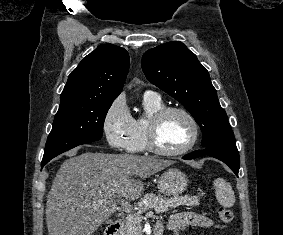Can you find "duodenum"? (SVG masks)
Masks as SVG:
<instances>
[{"mask_svg": "<svg viewBox=\"0 0 283 235\" xmlns=\"http://www.w3.org/2000/svg\"><path fill=\"white\" fill-rule=\"evenodd\" d=\"M123 228V222L116 220L109 225L106 231V235H121ZM154 235H162V225L157 223L154 228Z\"/></svg>", "mask_w": 283, "mask_h": 235, "instance_id": "obj_1", "label": "duodenum"}]
</instances>
